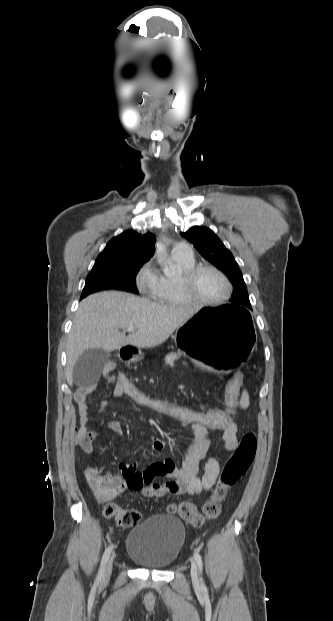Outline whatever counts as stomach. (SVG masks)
<instances>
[{
	"label": "stomach",
	"instance_id": "1",
	"mask_svg": "<svg viewBox=\"0 0 333 621\" xmlns=\"http://www.w3.org/2000/svg\"><path fill=\"white\" fill-rule=\"evenodd\" d=\"M198 365L216 375L233 376L246 368L254 350L255 334L250 312L224 304L205 307L189 317L172 336ZM141 353L132 358L138 361Z\"/></svg>",
	"mask_w": 333,
	"mask_h": 621
}]
</instances>
